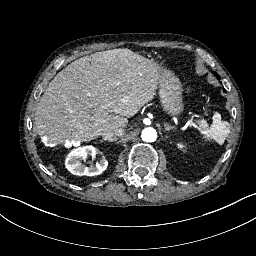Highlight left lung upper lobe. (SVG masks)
<instances>
[{
	"instance_id": "left-lung-upper-lobe-1",
	"label": "left lung upper lobe",
	"mask_w": 256,
	"mask_h": 256,
	"mask_svg": "<svg viewBox=\"0 0 256 256\" xmlns=\"http://www.w3.org/2000/svg\"><path fill=\"white\" fill-rule=\"evenodd\" d=\"M215 75L218 77V79H220L219 75L217 73H215Z\"/></svg>"
}]
</instances>
